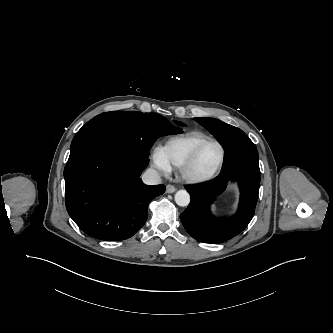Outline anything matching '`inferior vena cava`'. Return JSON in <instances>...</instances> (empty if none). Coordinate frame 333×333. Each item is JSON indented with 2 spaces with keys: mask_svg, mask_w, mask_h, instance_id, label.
I'll list each match as a JSON object with an SVG mask.
<instances>
[{
  "mask_svg": "<svg viewBox=\"0 0 333 333\" xmlns=\"http://www.w3.org/2000/svg\"><path fill=\"white\" fill-rule=\"evenodd\" d=\"M142 181L147 185L161 184V177L154 169H147L142 175Z\"/></svg>",
  "mask_w": 333,
  "mask_h": 333,
  "instance_id": "602c4592",
  "label": "inferior vena cava"
}]
</instances>
